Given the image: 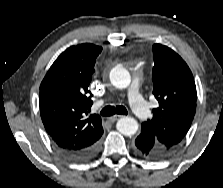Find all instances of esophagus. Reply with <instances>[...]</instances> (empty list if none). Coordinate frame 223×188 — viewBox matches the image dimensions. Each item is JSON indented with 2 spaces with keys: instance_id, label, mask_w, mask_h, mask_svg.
<instances>
[{
  "instance_id": "34e87169",
  "label": "esophagus",
  "mask_w": 223,
  "mask_h": 188,
  "mask_svg": "<svg viewBox=\"0 0 223 188\" xmlns=\"http://www.w3.org/2000/svg\"><path fill=\"white\" fill-rule=\"evenodd\" d=\"M122 117H124V116H122V115H115L113 117H110L109 121L113 123V122L117 121L118 119H120Z\"/></svg>"
}]
</instances>
